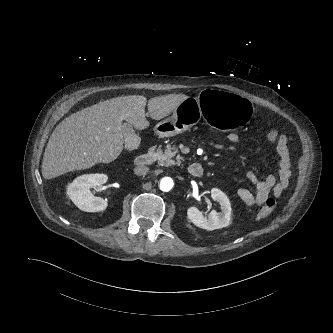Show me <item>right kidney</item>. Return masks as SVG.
<instances>
[{
	"mask_svg": "<svg viewBox=\"0 0 333 333\" xmlns=\"http://www.w3.org/2000/svg\"><path fill=\"white\" fill-rule=\"evenodd\" d=\"M105 174H84L73 180L67 188L72 202L86 212H99L107 208L108 203L101 197L94 196L90 187L101 186L107 182Z\"/></svg>",
	"mask_w": 333,
	"mask_h": 333,
	"instance_id": "ca27d5eb",
	"label": "right kidney"
}]
</instances>
